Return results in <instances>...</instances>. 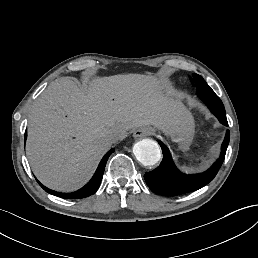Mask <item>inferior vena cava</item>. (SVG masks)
I'll use <instances>...</instances> for the list:
<instances>
[{"mask_svg": "<svg viewBox=\"0 0 258 258\" xmlns=\"http://www.w3.org/2000/svg\"><path fill=\"white\" fill-rule=\"evenodd\" d=\"M106 140L111 143H117L120 140L119 134L117 132H109L106 136Z\"/></svg>", "mask_w": 258, "mask_h": 258, "instance_id": "inferior-vena-cava-1", "label": "inferior vena cava"}]
</instances>
